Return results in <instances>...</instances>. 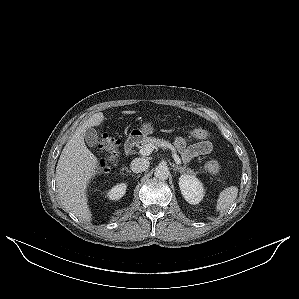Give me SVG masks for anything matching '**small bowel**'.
<instances>
[{"mask_svg": "<svg viewBox=\"0 0 299 299\" xmlns=\"http://www.w3.org/2000/svg\"><path fill=\"white\" fill-rule=\"evenodd\" d=\"M174 145L185 162L201 155H207L213 149L212 143L208 140H201L194 144L187 145L186 140L182 137H177L174 140Z\"/></svg>", "mask_w": 299, "mask_h": 299, "instance_id": "c3829d8e", "label": "small bowel"}]
</instances>
